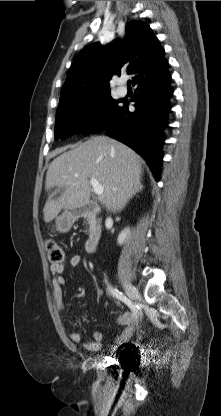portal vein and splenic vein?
<instances>
[{"label": "portal vein and splenic vein", "mask_w": 221, "mask_h": 416, "mask_svg": "<svg viewBox=\"0 0 221 416\" xmlns=\"http://www.w3.org/2000/svg\"><path fill=\"white\" fill-rule=\"evenodd\" d=\"M90 184L92 185L94 192L96 195L101 196L103 194L104 188L103 186L97 181V179L91 177Z\"/></svg>", "instance_id": "18ae733b"}]
</instances>
